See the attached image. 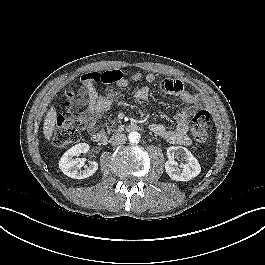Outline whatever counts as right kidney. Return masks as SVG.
Returning <instances> with one entry per match:
<instances>
[{
    "label": "right kidney",
    "instance_id": "right-kidney-1",
    "mask_svg": "<svg viewBox=\"0 0 265 265\" xmlns=\"http://www.w3.org/2000/svg\"><path fill=\"white\" fill-rule=\"evenodd\" d=\"M89 150V145L86 143H79L69 150H67L59 161L60 170L68 177L74 179H84L92 176L98 169V163L91 161L89 166L84 170L81 168L85 165L84 158H74Z\"/></svg>",
    "mask_w": 265,
    "mask_h": 265
}]
</instances>
